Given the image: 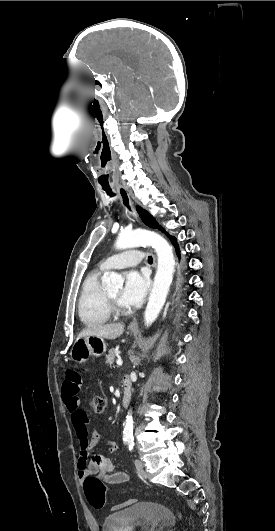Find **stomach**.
Wrapping results in <instances>:
<instances>
[{"instance_id": "obj_1", "label": "stomach", "mask_w": 275, "mask_h": 531, "mask_svg": "<svg viewBox=\"0 0 275 531\" xmlns=\"http://www.w3.org/2000/svg\"><path fill=\"white\" fill-rule=\"evenodd\" d=\"M130 331L134 333L135 329ZM106 351L107 345L102 337H81L76 339L72 349L68 350L67 359L75 363H86L89 357H102Z\"/></svg>"}]
</instances>
